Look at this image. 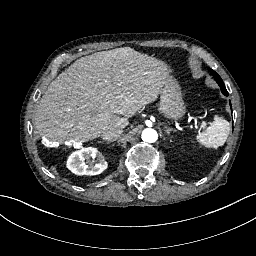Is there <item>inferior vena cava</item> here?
<instances>
[{
    "instance_id": "obj_1",
    "label": "inferior vena cava",
    "mask_w": 256,
    "mask_h": 256,
    "mask_svg": "<svg viewBox=\"0 0 256 256\" xmlns=\"http://www.w3.org/2000/svg\"><path fill=\"white\" fill-rule=\"evenodd\" d=\"M122 134L121 129L112 128L106 132H103L100 137L104 140H114Z\"/></svg>"
}]
</instances>
